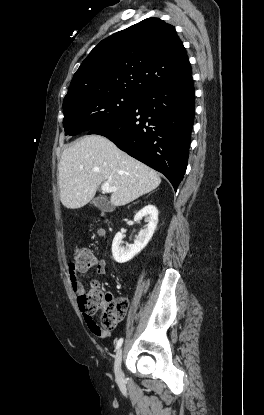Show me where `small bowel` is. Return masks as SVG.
<instances>
[{
	"instance_id": "c3829d8e",
	"label": "small bowel",
	"mask_w": 264,
	"mask_h": 415,
	"mask_svg": "<svg viewBox=\"0 0 264 415\" xmlns=\"http://www.w3.org/2000/svg\"><path fill=\"white\" fill-rule=\"evenodd\" d=\"M87 269L86 268H80L79 270L76 271V273L74 274H69L70 277V281H71V286L73 289V292L75 295H77L78 297H80L83 294V285L80 281L79 275L84 273ZM106 270V265L105 262L103 260H98L96 262V271L99 274H103ZM92 332L100 337H105L108 335L107 330L100 328L99 330H94L92 329Z\"/></svg>"
}]
</instances>
